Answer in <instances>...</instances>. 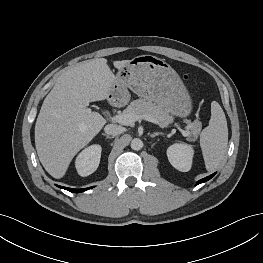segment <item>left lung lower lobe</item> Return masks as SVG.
Wrapping results in <instances>:
<instances>
[{
    "label": "left lung lower lobe",
    "mask_w": 263,
    "mask_h": 263,
    "mask_svg": "<svg viewBox=\"0 0 263 263\" xmlns=\"http://www.w3.org/2000/svg\"><path fill=\"white\" fill-rule=\"evenodd\" d=\"M214 175H215V174H212V175H210V176H207V177L199 180L197 184H200V183H203V182L208 181V180L211 179Z\"/></svg>",
    "instance_id": "obj_1"
}]
</instances>
